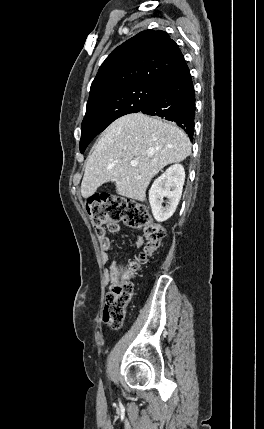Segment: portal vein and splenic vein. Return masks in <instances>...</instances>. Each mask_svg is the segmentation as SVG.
<instances>
[{
  "instance_id": "portal-vein-and-splenic-vein-1",
  "label": "portal vein and splenic vein",
  "mask_w": 264,
  "mask_h": 429,
  "mask_svg": "<svg viewBox=\"0 0 264 429\" xmlns=\"http://www.w3.org/2000/svg\"><path fill=\"white\" fill-rule=\"evenodd\" d=\"M130 165H131L132 167H135V166L137 165V161H135V160L131 161V162H130Z\"/></svg>"
}]
</instances>
